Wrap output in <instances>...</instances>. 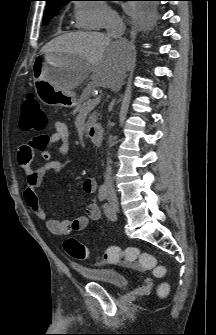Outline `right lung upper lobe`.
I'll list each match as a JSON object with an SVG mask.
<instances>
[{
  "instance_id": "obj_1",
  "label": "right lung upper lobe",
  "mask_w": 216,
  "mask_h": 335,
  "mask_svg": "<svg viewBox=\"0 0 216 335\" xmlns=\"http://www.w3.org/2000/svg\"><path fill=\"white\" fill-rule=\"evenodd\" d=\"M46 1H47V5H50V4H55V3L68 2L70 0H46Z\"/></svg>"
}]
</instances>
